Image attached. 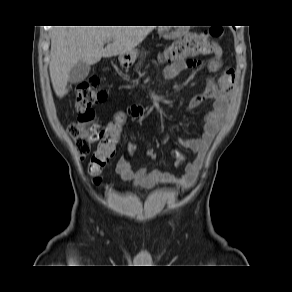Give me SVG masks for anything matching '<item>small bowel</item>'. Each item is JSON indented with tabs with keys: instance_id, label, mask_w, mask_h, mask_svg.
I'll use <instances>...</instances> for the list:
<instances>
[{
	"instance_id": "small-bowel-1",
	"label": "small bowel",
	"mask_w": 292,
	"mask_h": 292,
	"mask_svg": "<svg viewBox=\"0 0 292 292\" xmlns=\"http://www.w3.org/2000/svg\"><path fill=\"white\" fill-rule=\"evenodd\" d=\"M223 51L215 46L213 57L209 61L208 68L211 72L219 70L222 64ZM199 65L198 61L188 60L173 62L163 72L166 79H174L185 69ZM234 82V70L227 69L218 79H209L205 90L192 97L188 110H194L205 100H214L213 108L205 116V124L200 137L187 138L180 141L181 145L196 155L193 162L185 166V174L181 178L159 170L147 171L145 168L133 169L126 157L120 158L116 163V173L123 181L132 182L139 188H152L156 185H171L184 190L190 189L196 182L198 174L203 166L206 152L222 126L229 104V94ZM135 145H128V153L132 154ZM184 157L179 155L176 161L181 165Z\"/></svg>"
}]
</instances>
